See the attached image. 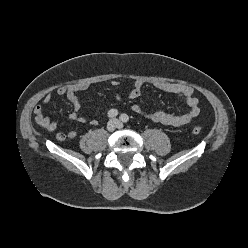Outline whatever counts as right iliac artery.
I'll list each match as a JSON object with an SVG mask.
<instances>
[{
  "mask_svg": "<svg viewBox=\"0 0 248 248\" xmlns=\"http://www.w3.org/2000/svg\"><path fill=\"white\" fill-rule=\"evenodd\" d=\"M118 115V111L116 109H111L110 111H108V117L109 118H114Z\"/></svg>",
  "mask_w": 248,
  "mask_h": 248,
  "instance_id": "right-iliac-artery-1",
  "label": "right iliac artery"
}]
</instances>
